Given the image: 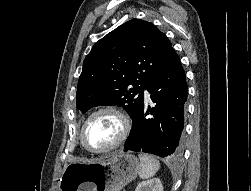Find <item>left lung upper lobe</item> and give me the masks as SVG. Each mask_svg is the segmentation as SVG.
Here are the masks:
<instances>
[{"label": "left lung upper lobe", "mask_w": 251, "mask_h": 191, "mask_svg": "<svg viewBox=\"0 0 251 191\" xmlns=\"http://www.w3.org/2000/svg\"><path fill=\"white\" fill-rule=\"evenodd\" d=\"M152 23L132 19L96 42L83 62L76 94L82 113L99 105H118L137 117L143 90L172 50Z\"/></svg>", "instance_id": "obj_1"}]
</instances>
